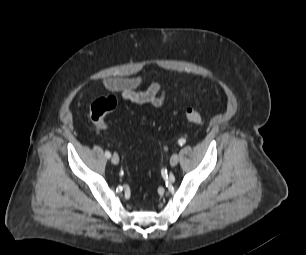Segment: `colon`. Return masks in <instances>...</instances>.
I'll return each mask as SVG.
<instances>
[{"instance_id": "5ec220e1", "label": "colon", "mask_w": 306, "mask_h": 255, "mask_svg": "<svg viewBox=\"0 0 306 255\" xmlns=\"http://www.w3.org/2000/svg\"><path fill=\"white\" fill-rule=\"evenodd\" d=\"M118 107V101L113 96L102 97L95 100L90 107V118L94 124L100 128H107L105 122V115L116 110ZM186 119L195 126L202 124V116L200 112L192 107L185 110Z\"/></svg>"}]
</instances>
